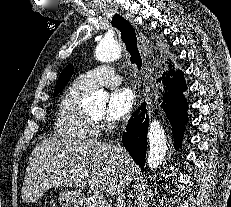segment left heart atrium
Masks as SVG:
<instances>
[{"label": "left heart atrium", "mask_w": 231, "mask_h": 207, "mask_svg": "<svg viewBox=\"0 0 231 207\" xmlns=\"http://www.w3.org/2000/svg\"><path fill=\"white\" fill-rule=\"evenodd\" d=\"M135 104V94L130 88L123 87L114 90L108 100L106 119L119 121L124 118Z\"/></svg>", "instance_id": "39dd6f15"}]
</instances>
